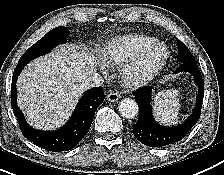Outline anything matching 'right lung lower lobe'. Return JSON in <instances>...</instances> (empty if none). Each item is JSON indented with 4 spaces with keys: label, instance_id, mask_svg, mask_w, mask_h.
<instances>
[{
    "label": "right lung lower lobe",
    "instance_id": "1",
    "mask_svg": "<svg viewBox=\"0 0 224 175\" xmlns=\"http://www.w3.org/2000/svg\"><path fill=\"white\" fill-rule=\"evenodd\" d=\"M28 62L18 63L11 86V106L23 135L39 147L48 151H68L74 148L88 133L98 106L104 101L103 88L95 87L84 93L70 120L56 131H41L30 127L17 106V78Z\"/></svg>",
    "mask_w": 224,
    "mask_h": 175
}]
</instances>
